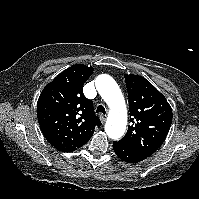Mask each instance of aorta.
I'll return each instance as SVG.
<instances>
[{"instance_id": "1", "label": "aorta", "mask_w": 199, "mask_h": 199, "mask_svg": "<svg viewBox=\"0 0 199 199\" xmlns=\"http://www.w3.org/2000/svg\"><path fill=\"white\" fill-rule=\"evenodd\" d=\"M96 88L110 108L105 124V131L109 138L117 140L126 130L127 109L117 83L109 75L102 74L96 78Z\"/></svg>"}]
</instances>
